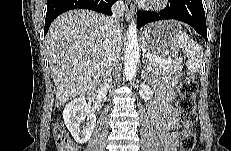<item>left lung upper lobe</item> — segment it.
<instances>
[{
    "instance_id": "1",
    "label": "left lung upper lobe",
    "mask_w": 231,
    "mask_h": 151,
    "mask_svg": "<svg viewBox=\"0 0 231 151\" xmlns=\"http://www.w3.org/2000/svg\"><path fill=\"white\" fill-rule=\"evenodd\" d=\"M169 2H170L169 7H175L178 4H180V0H169Z\"/></svg>"
}]
</instances>
